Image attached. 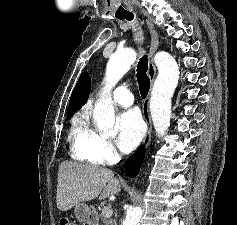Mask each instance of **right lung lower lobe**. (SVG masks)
Masks as SVG:
<instances>
[{
  "mask_svg": "<svg viewBox=\"0 0 237 225\" xmlns=\"http://www.w3.org/2000/svg\"><path fill=\"white\" fill-rule=\"evenodd\" d=\"M145 154L144 146H140L136 152L127 160L125 164V172L129 177H136L139 173Z\"/></svg>",
  "mask_w": 237,
  "mask_h": 225,
  "instance_id": "right-lung-lower-lobe-1",
  "label": "right lung lower lobe"
}]
</instances>
